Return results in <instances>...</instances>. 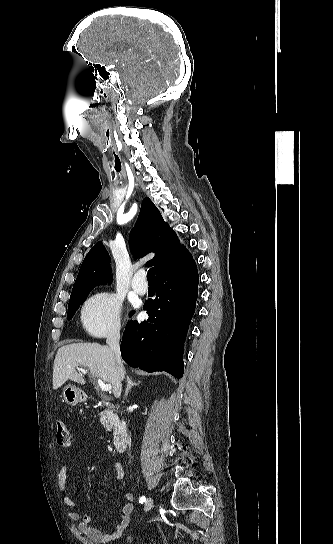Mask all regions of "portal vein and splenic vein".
I'll return each instance as SVG.
<instances>
[{
  "label": "portal vein and splenic vein",
  "instance_id": "obj_1",
  "mask_svg": "<svg viewBox=\"0 0 333 544\" xmlns=\"http://www.w3.org/2000/svg\"><path fill=\"white\" fill-rule=\"evenodd\" d=\"M78 370L84 374L87 373V370L84 368H78ZM98 385L102 391H110L112 388L110 384H105L101 379H98Z\"/></svg>",
  "mask_w": 333,
  "mask_h": 544
}]
</instances>
